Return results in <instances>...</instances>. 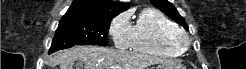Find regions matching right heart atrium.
<instances>
[{"mask_svg":"<svg viewBox=\"0 0 246 69\" xmlns=\"http://www.w3.org/2000/svg\"><path fill=\"white\" fill-rule=\"evenodd\" d=\"M108 31L117 48H126L129 46L131 25L126 13L115 17L111 21Z\"/></svg>","mask_w":246,"mask_h":69,"instance_id":"obj_1","label":"right heart atrium"}]
</instances>
